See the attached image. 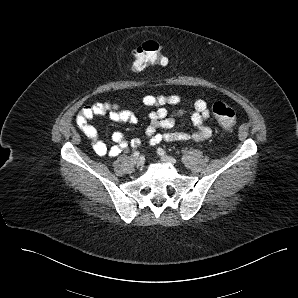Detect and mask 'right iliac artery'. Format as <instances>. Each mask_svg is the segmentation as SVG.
I'll return each instance as SVG.
<instances>
[{
  "instance_id": "right-iliac-artery-1",
  "label": "right iliac artery",
  "mask_w": 298,
  "mask_h": 298,
  "mask_svg": "<svg viewBox=\"0 0 298 298\" xmlns=\"http://www.w3.org/2000/svg\"><path fill=\"white\" fill-rule=\"evenodd\" d=\"M134 155H135V156H139V152H138V151H135V152H134Z\"/></svg>"
}]
</instances>
